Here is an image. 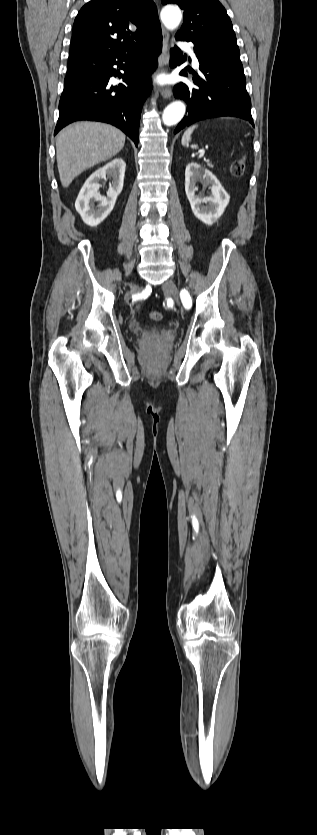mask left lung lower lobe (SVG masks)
Listing matches in <instances>:
<instances>
[{"label":"left lung lower lobe","instance_id":"obj_1","mask_svg":"<svg viewBox=\"0 0 317 835\" xmlns=\"http://www.w3.org/2000/svg\"><path fill=\"white\" fill-rule=\"evenodd\" d=\"M194 45L200 64L199 75L189 69L195 75L194 86L180 82L174 87L175 97L185 100L188 110V115L181 120L174 133L199 120L221 116L241 118L254 127L239 49L206 40ZM170 54V66L183 63L180 49L175 47ZM187 72L185 68L180 75L187 76Z\"/></svg>","mask_w":317,"mask_h":835}]
</instances>
